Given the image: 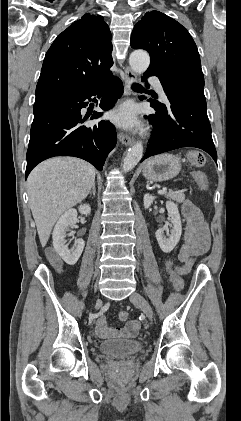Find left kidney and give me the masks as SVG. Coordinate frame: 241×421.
I'll list each match as a JSON object with an SVG mask.
<instances>
[{"mask_svg": "<svg viewBox=\"0 0 241 421\" xmlns=\"http://www.w3.org/2000/svg\"><path fill=\"white\" fill-rule=\"evenodd\" d=\"M155 197L150 194L144 195V207L148 209L151 204L153 203ZM166 209L168 211L169 216L171 217V224H170V235L166 237L164 235V231L166 227L160 228L156 231V239L161 250L164 253L171 252L174 247L178 244L181 234H182V225H181V218L178 210L177 204L167 201L166 202Z\"/></svg>", "mask_w": 241, "mask_h": 421, "instance_id": "1", "label": "left kidney"}]
</instances>
